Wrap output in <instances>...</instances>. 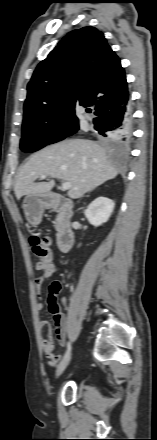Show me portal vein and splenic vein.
I'll return each mask as SVG.
<instances>
[{"label":"portal vein and splenic vein","instance_id":"18ae733b","mask_svg":"<svg viewBox=\"0 0 157 440\" xmlns=\"http://www.w3.org/2000/svg\"><path fill=\"white\" fill-rule=\"evenodd\" d=\"M46 177H47L46 175H42V176H41L42 179H46ZM70 188H71V183L63 181V183H62V189H63V190H68V189H70Z\"/></svg>","mask_w":157,"mask_h":440}]
</instances>
